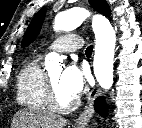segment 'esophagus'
<instances>
[{
    "mask_svg": "<svg viewBox=\"0 0 142 128\" xmlns=\"http://www.w3.org/2000/svg\"><path fill=\"white\" fill-rule=\"evenodd\" d=\"M102 91L98 84H96L91 92L88 94L87 102L84 111L75 120L76 128H85L94 114V102L98 96H101Z\"/></svg>",
    "mask_w": 142,
    "mask_h": 128,
    "instance_id": "1",
    "label": "esophagus"
}]
</instances>
